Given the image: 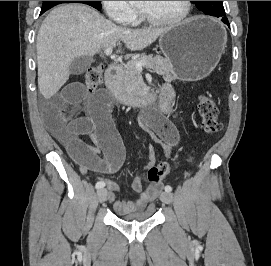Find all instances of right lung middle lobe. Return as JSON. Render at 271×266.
Segmentation results:
<instances>
[{
  "instance_id": "right-lung-middle-lobe-1",
  "label": "right lung middle lobe",
  "mask_w": 271,
  "mask_h": 266,
  "mask_svg": "<svg viewBox=\"0 0 271 266\" xmlns=\"http://www.w3.org/2000/svg\"><path fill=\"white\" fill-rule=\"evenodd\" d=\"M61 3H84L96 8L97 10L101 9V1H43L41 12H45L48 9Z\"/></svg>"
}]
</instances>
